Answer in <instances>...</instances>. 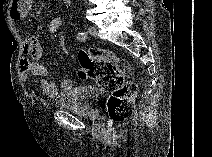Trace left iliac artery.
Segmentation results:
<instances>
[{
	"label": "left iliac artery",
	"instance_id": "1",
	"mask_svg": "<svg viewBox=\"0 0 212 157\" xmlns=\"http://www.w3.org/2000/svg\"><path fill=\"white\" fill-rule=\"evenodd\" d=\"M86 37H87V33H86V32H80V33H78V35H77V39H78L79 41H84V40L86 39Z\"/></svg>",
	"mask_w": 212,
	"mask_h": 157
}]
</instances>
